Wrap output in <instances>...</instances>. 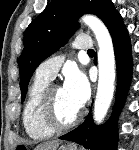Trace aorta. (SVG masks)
<instances>
[{"mask_svg": "<svg viewBox=\"0 0 139 150\" xmlns=\"http://www.w3.org/2000/svg\"><path fill=\"white\" fill-rule=\"evenodd\" d=\"M81 20L94 32L99 46V79L94 102V121L100 124L107 114L114 94L116 77L114 47L108 29L98 17L87 14Z\"/></svg>", "mask_w": 139, "mask_h": 150, "instance_id": "1", "label": "aorta"}]
</instances>
